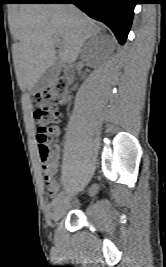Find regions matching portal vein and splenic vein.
Instances as JSON below:
<instances>
[{
	"label": "portal vein and splenic vein",
	"instance_id": "18ae733b",
	"mask_svg": "<svg viewBox=\"0 0 166 267\" xmlns=\"http://www.w3.org/2000/svg\"><path fill=\"white\" fill-rule=\"evenodd\" d=\"M55 41H56V43L59 44V45H62V44H63L62 39L59 38V37H56V38H55Z\"/></svg>",
	"mask_w": 166,
	"mask_h": 267
}]
</instances>
